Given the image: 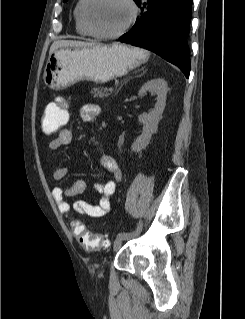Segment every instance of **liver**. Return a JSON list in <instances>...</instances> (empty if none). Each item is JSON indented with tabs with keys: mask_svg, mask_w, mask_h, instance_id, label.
Returning <instances> with one entry per match:
<instances>
[{
	"mask_svg": "<svg viewBox=\"0 0 245 319\" xmlns=\"http://www.w3.org/2000/svg\"><path fill=\"white\" fill-rule=\"evenodd\" d=\"M96 43L91 42H83V41H73V40H60L56 41L52 44L49 55L54 53L59 48H67V47H90L95 46Z\"/></svg>",
	"mask_w": 245,
	"mask_h": 319,
	"instance_id": "1",
	"label": "liver"
}]
</instances>
